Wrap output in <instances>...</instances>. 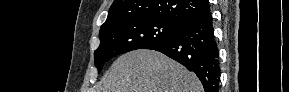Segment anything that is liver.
I'll return each instance as SVG.
<instances>
[{
	"label": "liver",
	"instance_id": "6515ba94",
	"mask_svg": "<svg viewBox=\"0 0 289 92\" xmlns=\"http://www.w3.org/2000/svg\"><path fill=\"white\" fill-rule=\"evenodd\" d=\"M100 92H203L197 76L164 54L148 49L118 57L104 75Z\"/></svg>",
	"mask_w": 289,
	"mask_h": 92
}]
</instances>
